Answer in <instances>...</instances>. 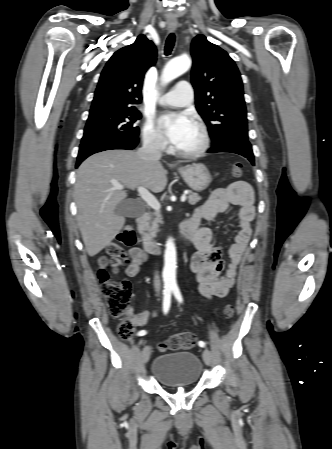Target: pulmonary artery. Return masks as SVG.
Instances as JSON below:
<instances>
[{"label": "pulmonary artery", "mask_w": 332, "mask_h": 449, "mask_svg": "<svg viewBox=\"0 0 332 449\" xmlns=\"http://www.w3.org/2000/svg\"><path fill=\"white\" fill-rule=\"evenodd\" d=\"M192 99L193 88L191 84L182 80L160 99V103L167 106L183 107L190 104Z\"/></svg>", "instance_id": "1"}]
</instances>
